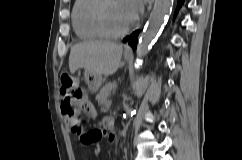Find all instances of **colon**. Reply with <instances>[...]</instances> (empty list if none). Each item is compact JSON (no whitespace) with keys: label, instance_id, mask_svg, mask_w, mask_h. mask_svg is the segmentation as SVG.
<instances>
[{"label":"colon","instance_id":"5ec220e1","mask_svg":"<svg viewBox=\"0 0 242 160\" xmlns=\"http://www.w3.org/2000/svg\"><path fill=\"white\" fill-rule=\"evenodd\" d=\"M60 88L61 95L64 98L63 101L66 104L62 107V112L65 117L75 118L82 109L88 108L85 103V91L81 88L74 78L67 72H63L60 76ZM80 130V128L78 127ZM96 136V133L91 132L82 136V141L86 144L92 142V139Z\"/></svg>","mask_w":242,"mask_h":160}]
</instances>
